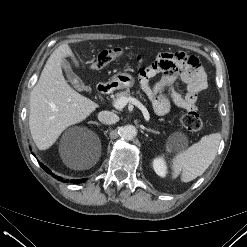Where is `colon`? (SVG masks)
Instances as JSON below:
<instances>
[{
	"label": "colon",
	"instance_id": "obj_1",
	"mask_svg": "<svg viewBox=\"0 0 247 247\" xmlns=\"http://www.w3.org/2000/svg\"><path fill=\"white\" fill-rule=\"evenodd\" d=\"M124 55L122 48H111L103 50L91 64L93 69L105 67L111 61ZM180 123L189 131L197 132L202 129L203 122L195 110H188L180 116Z\"/></svg>",
	"mask_w": 247,
	"mask_h": 247
}]
</instances>
